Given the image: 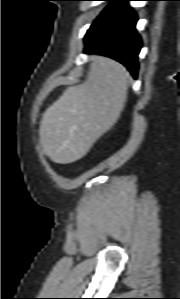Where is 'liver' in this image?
I'll list each match as a JSON object with an SVG mask.
<instances>
[{"label": "liver", "instance_id": "1", "mask_svg": "<svg viewBox=\"0 0 180 299\" xmlns=\"http://www.w3.org/2000/svg\"><path fill=\"white\" fill-rule=\"evenodd\" d=\"M128 73L118 62L91 57L86 81L68 87L42 115L44 154L58 164L83 158L119 119L127 99Z\"/></svg>", "mask_w": 180, "mask_h": 299}]
</instances>
